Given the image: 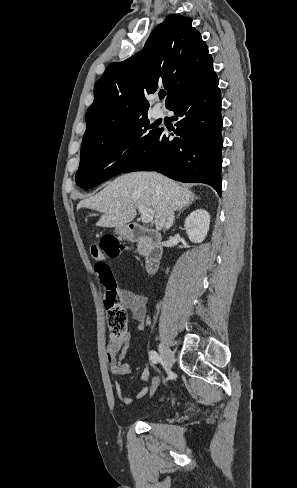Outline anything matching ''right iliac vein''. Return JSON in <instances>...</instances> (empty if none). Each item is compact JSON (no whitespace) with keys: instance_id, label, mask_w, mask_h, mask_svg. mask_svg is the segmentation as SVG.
Listing matches in <instances>:
<instances>
[{"instance_id":"right-iliac-vein-1","label":"right iliac vein","mask_w":297,"mask_h":488,"mask_svg":"<svg viewBox=\"0 0 297 488\" xmlns=\"http://www.w3.org/2000/svg\"><path fill=\"white\" fill-rule=\"evenodd\" d=\"M159 352L166 369L170 370L174 362V355L172 351L164 343H160Z\"/></svg>"}]
</instances>
